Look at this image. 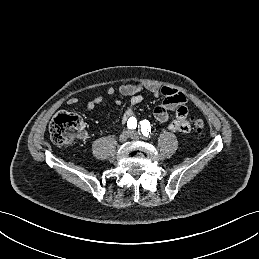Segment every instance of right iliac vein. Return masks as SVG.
Masks as SVG:
<instances>
[{
	"instance_id": "1",
	"label": "right iliac vein",
	"mask_w": 259,
	"mask_h": 259,
	"mask_svg": "<svg viewBox=\"0 0 259 259\" xmlns=\"http://www.w3.org/2000/svg\"><path fill=\"white\" fill-rule=\"evenodd\" d=\"M129 136H130L129 130L123 131L119 136V142H121V143L125 142Z\"/></svg>"
}]
</instances>
